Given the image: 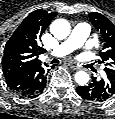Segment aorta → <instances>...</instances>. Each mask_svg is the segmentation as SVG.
I'll list each match as a JSON object with an SVG mask.
<instances>
[{
    "label": "aorta",
    "instance_id": "1",
    "mask_svg": "<svg viewBox=\"0 0 115 119\" xmlns=\"http://www.w3.org/2000/svg\"><path fill=\"white\" fill-rule=\"evenodd\" d=\"M50 31L57 39H65L70 34L71 26L68 21L57 19L51 24ZM89 79V74L85 71H79L75 74V81L80 86L86 85Z\"/></svg>",
    "mask_w": 115,
    "mask_h": 119
}]
</instances>
